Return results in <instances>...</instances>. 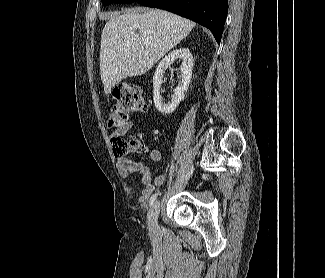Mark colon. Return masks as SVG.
<instances>
[{"instance_id":"obj_1","label":"colon","mask_w":325,"mask_h":278,"mask_svg":"<svg viewBox=\"0 0 325 278\" xmlns=\"http://www.w3.org/2000/svg\"><path fill=\"white\" fill-rule=\"evenodd\" d=\"M147 102L141 94L139 87L134 85H120L112 91L111 104L109 109L108 128L117 130L124 123L129 121L134 112L146 111ZM115 153L125 155L138 152L141 145L136 139L126 140L120 136L113 140Z\"/></svg>"}]
</instances>
